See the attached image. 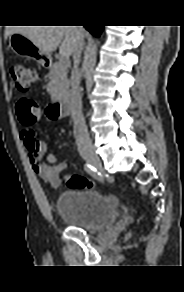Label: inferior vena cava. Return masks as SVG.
I'll list each match as a JSON object with an SVG mask.
<instances>
[{
	"label": "inferior vena cava",
	"mask_w": 184,
	"mask_h": 292,
	"mask_svg": "<svg viewBox=\"0 0 184 292\" xmlns=\"http://www.w3.org/2000/svg\"><path fill=\"white\" fill-rule=\"evenodd\" d=\"M79 31L83 30L82 26L77 27ZM84 47V37L81 36L78 44L73 52L74 66L71 73V94L70 104L72 107V120L74 123V131L78 150L80 152L92 151V142L89 137L87 127L85 125V119L82 113V101L79 85L81 81V73L79 71V63L81 59V53Z\"/></svg>",
	"instance_id": "inferior-vena-cava-1"
}]
</instances>
